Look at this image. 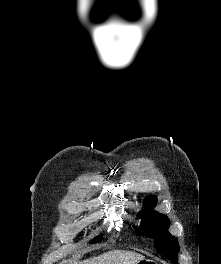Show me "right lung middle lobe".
I'll return each mask as SVG.
<instances>
[{
	"mask_svg": "<svg viewBox=\"0 0 221 264\" xmlns=\"http://www.w3.org/2000/svg\"><path fill=\"white\" fill-rule=\"evenodd\" d=\"M101 237H102V235L97 236V237H95V238L93 239V241L96 242V241H98L99 239H101Z\"/></svg>",
	"mask_w": 221,
	"mask_h": 264,
	"instance_id": "1",
	"label": "right lung middle lobe"
}]
</instances>
